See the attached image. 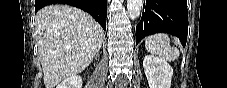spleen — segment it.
I'll use <instances>...</instances> for the list:
<instances>
[{"mask_svg": "<svg viewBox=\"0 0 227 88\" xmlns=\"http://www.w3.org/2000/svg\"><path fill=\"white\" fill-rule=\"evenodd\" d=\"M145 48L151 54L159 55L163 60L174 61L179 57V50L170 45L169 36L164 33L148 36L145 39Z\"/></svg>", "mask_w": 227, "mask_h": 88, "instance_id": "1", "label": "spleen"}]
</instances>
